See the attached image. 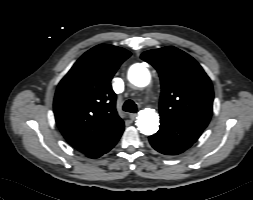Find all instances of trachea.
Listing matches in <instances>:
<instances>
[{"instance_id":"1","label":"trachea","mask_w":253,"mask_h":200,"mask_svg":"<svg viewBox=\"0 0 253 200\" xmlns=\"http://www.w3.org/2000/svg\"><path fill=\"white\" fill-rule=\"evenodd\" d=\"M123 110L130 113H136L137 105L132 100H127L123 105Z\"/></svg>"}]
</instances>
